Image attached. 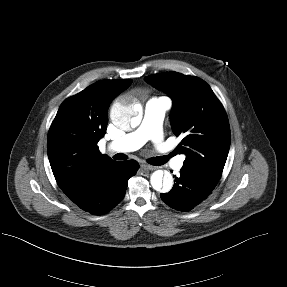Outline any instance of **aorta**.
<instances>
[{"label":"aorta","mask_w":287,"mask_h":287,"mask_svg":"<svg viewBox=\"0 0 287 287\" xmlns=\"http://www.w3.org/2000/svg\"><path fill=\"white\" fill-rule=\"evenodd\" d=\"M110 117L120 129L126 130L130 126L135 128L141 122V108L135 100L121 99L112 105ZM150 183L156 191L169 192L173 186V177L170 173L157 170L152 173Z\"/></svg>","instance_id":"762f6f07"}]
</instances>
